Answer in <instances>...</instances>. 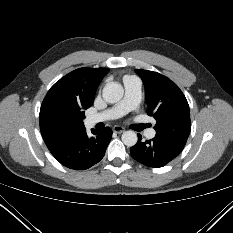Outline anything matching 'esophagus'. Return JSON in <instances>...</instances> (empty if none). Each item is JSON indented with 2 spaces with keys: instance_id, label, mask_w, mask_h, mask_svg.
<instances>
[{
  "instance_id": "esophagus-1",
  "label": "esophagus",
  "mask_w": 233,
  "mask_h": 233,
  "mask_svg": "<svg viewBox=\"0 0 233 233\" xmlns=\"http://www.w3.org/2000/svg\"><path fill=\"white\" fill-rule=\"evenodd\" d=\"M124 131H125V128H123L121 126L116 125V126L113 127V132H115V133H122Z\"/></svg>"
}]
</instances>
